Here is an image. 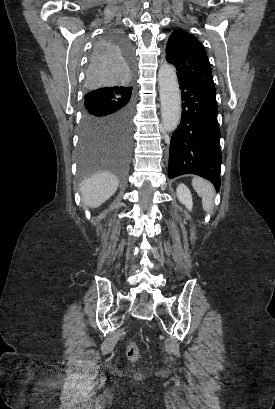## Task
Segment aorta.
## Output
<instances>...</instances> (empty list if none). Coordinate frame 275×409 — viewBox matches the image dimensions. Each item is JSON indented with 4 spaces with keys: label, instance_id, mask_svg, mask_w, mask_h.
Wrapping results in <instances>:
<instances>
[{
    "label": "aorta",
    "instance_id": "762f6f07",
    "mask_svg": "<svg viewBox=\"0 0 275 409\" xmlns=\"http://www.w3.org/2000/svg\"><path fill=\"white\" fill-rule=\"evenodd\" d=\"M160 86V102L162 128L172 132L178 126L181 116V96L177 80L176 68L173 64H161L158 72Z\"/></svg>",
    "mask_w": 275,
    "mask_h": 409
}]
</instances>
